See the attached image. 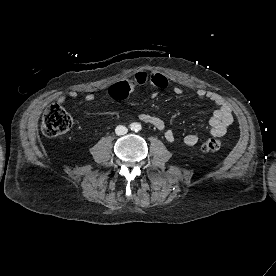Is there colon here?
<instances>
[{"instance_id": "colon-1", "label": "colon", "mask_w": 276, "mask_h": 276, "mask_svg": "<svg viewBox=\"0 0 276 276\" xmlns=\"http://www.w3.org/2000/svg\"><path fill=\"white\" fill-rule=\"evenodd\" d=\"M72 127V118L59 104L50 105L42 117V131L46 136L55 137L66 133ZM222 147L218 138H208L202 144L204 152H216Z\"/></svg>"}]
</instances>
